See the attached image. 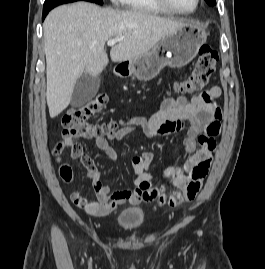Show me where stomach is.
Segmentation results:
<instances>
[{"label":"stomach","instance_id":"stomach-1","mask_svg":"<svg viewBox=\"0 0 265 269\" xmlns=\"http://www.w3.org/2000/svg\"><path fill=\"white\" fill-rule=\"evenodd\" d=\"M207 38L206 31L195 23H185L181 28L160 40L151 51L122 61L123 75H133L140 80H151L169 66L179 68L190 63Z\"/></svg>","mask_w":265,"mask_h":269}]
</instances>
